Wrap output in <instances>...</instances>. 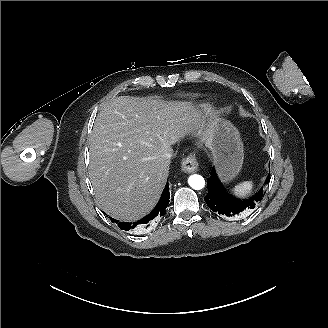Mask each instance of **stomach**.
<instances>
[{
  "label": "stomach",
  "instance_id": "obj_1",
  "mask_svg": "<svg viewBox=\"0 0 328 328\" xmlns=\"http://www.w3.org/2000/svg\"><path fill=\"white\" fill-rule=\"evenodd\" d=\"M212 152L218 173L223 181L231 180L241 169L243 144L234 125L216 118L207 131L205 144Z\"/></svg>",
  "mask_w": 328,
  "mask_h": 328
}]
</instances>
